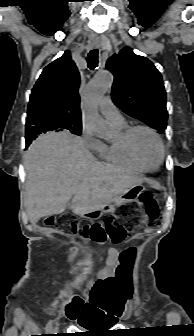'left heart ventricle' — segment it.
Wrapping results in <instances>:
<instances>
[{
  "mask_svg": "<svg viewBox=\"0 0 194 336\" xmlns=\"http://www.w3.org/2000/svg\"><path fill=\"white\" fill-rule=\"evenodd\" d=\"M134 145L140 158L147 164L154 166L160 160V148L151 133L137 131L134 135Z\"/></svg>",
  "mask_w": 194,
  "mask_h": 336,
  "instance_id": "left-heart-ventricle-1",
  "label": "left heart ventricle"
}]
</instances>
